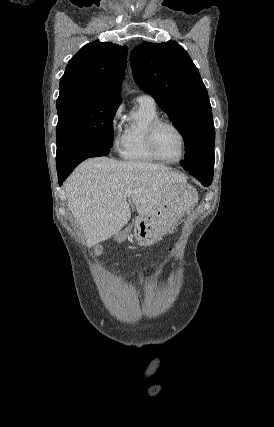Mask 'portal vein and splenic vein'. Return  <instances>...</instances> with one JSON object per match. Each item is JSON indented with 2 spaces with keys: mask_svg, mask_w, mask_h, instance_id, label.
<instances>
[{
  "mask_svg": "<svg viewBox=\"0 0 274 427\" xmlns=\"http://www.w3.org/2000/svg\"><path fill=\"white\" fill-rule=\"evenodd\" d=\"M131 194H132V192H126V196H128V198H129V196H131Z\"/></svg>",
  "mask_w": 274,
  "mask_h": 427,
  "instance_id": "18ae733b",
  "label": "portal vein and splenic vein"
}]
</instances>
